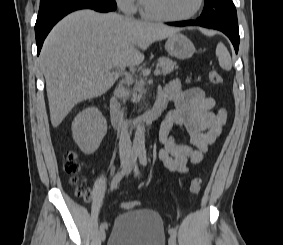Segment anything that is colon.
Here are the masks:
<instances>
[{"label":"colon","mask_w":283,"mask_h":245,"mask_svg":"<svg viewBox=\"0 0 283 245\" xmlns=\"http://www.w3.org/2000/svg\"><path fill=\"white\" fill-rule=\"evenodd\" d=\"M209 80L214 85H219L223 82L222 75L216 70H211L209 72ZM80 170V165L77 161V157L75 153L72 151H68L65 155V171L67 174L71 176V181L75 185L76 195L78 197L83 198L84 200L90 199L89 191L83 186L78 184L77 174ZM202 189V181L199 177H194L189 184V191L192 195H198ZM122 207L126 209H133L136 207V203L134 202H124L122 203Z\"/></svg>","instance_id":"colon-1"}]
</instances>
